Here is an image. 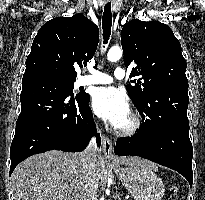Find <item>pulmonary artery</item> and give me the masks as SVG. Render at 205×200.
<instances>
[{"instance_id":"pulmonary-artery-1","label":"pulmonary artery","mask_w":205,"mask_h":200,"mask_svg":"<svg viewBox=\"0 0 205 200\" xmlns=\"http://www.w3.org/2000/svg\"><path fill=\"white\" fill-rule=\"evenodd\" d=\"M125 71L121 68H117L114 71L115 79H123L125 77ZM114 78L108 74L102 73L97 70H91V74L82 77L79 80L80 85H93V84H110L114 81Z\"/></svg>"}]
</instances>
